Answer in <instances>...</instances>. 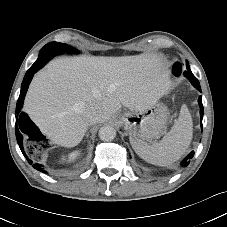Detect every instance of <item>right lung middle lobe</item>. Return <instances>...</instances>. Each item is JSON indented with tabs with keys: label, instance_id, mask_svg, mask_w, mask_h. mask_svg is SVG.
<instances>
[{
	"label": "right lung middle lobe",
	"instance_id": "right-lung-middle-lobe-1",
	"mask_svg": "<svg viewBox=\"0 0 227 227\" xmlns=\"http://www.w3.org/2000/svg\"><path fill=\"white\" fill-rule=\"evenodd\" d=\"M44 50H47V51H53L55 52L56 54L58 53H61V52H68V53H76L78 52L77 49L71 47V46H68L66 44H63V43H58V42H51V43H48L46 44L40 51V53Z\"/></svg>",
	"mask_w": 227,
	"mask_h": 227
}]
</instances>
